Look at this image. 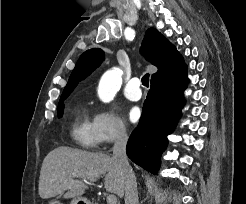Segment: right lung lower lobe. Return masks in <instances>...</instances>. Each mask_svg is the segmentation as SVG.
I'll use <instances>...</instances> for the list:
<instances>
[{
  "label": "right lung lower lobe",
  "mask_w": 246,
  "mask_h": 204,
  "mask_svg": "<svg viewBox=\"0 0 246 204\" xmlns=\"http://www.w3.org/2000/svg\"><path fill=\"white\" fill-rule=\"evenodd\" d=\"M186 69L185 65L151 79L139 125L128 140V157L151 173L157 172L160 155L168 144L167 135L174 131L181 116L188 84Z\"/></svg>",
  "instance_id": "98d812e1"
}]
</instances>
